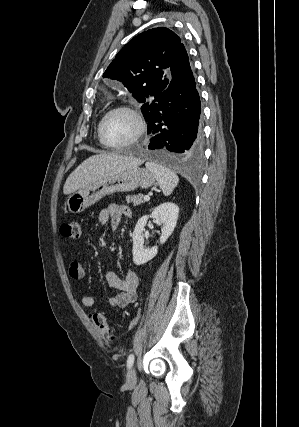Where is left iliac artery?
I'll return each mask as SVG.
<instances>
[{"label":"left iliac artery","instance_id":"1","mask_svg":"<svg viewBox=\"0 0 299 427\" xmlns=\"http://www.w3.org/2000/svg\"><path fill=\"white\" fill-rule=\"evenodd\" d=\"M134 363V355L130 354L127 359V368L130 369L133 366Z\"/></svg>","mask_w":299,"mask_h":427}]
</instances>
